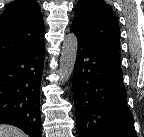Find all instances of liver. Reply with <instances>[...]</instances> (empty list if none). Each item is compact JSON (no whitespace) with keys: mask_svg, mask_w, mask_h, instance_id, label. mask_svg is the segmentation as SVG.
<instances>
[{"mask_svg":"<svg viewBox=\"0 0 144 137\" xmlns=\"http://www.w3.org/2000/svg\"><path fill=\"white\" fill-rule=\"evenodd\" d=\"M0 137H26V134L12 125H0Z\"/></svg>","mask_w":144,"mask_h":137,"instance_id":"1","label":"liver"}]
</instances>
